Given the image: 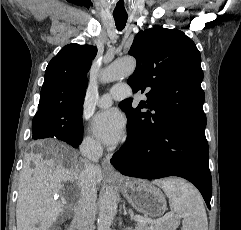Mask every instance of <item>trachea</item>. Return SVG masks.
Masks as SVG:
<instances>
[{
  "label": "trachea",
  "mask_w": 241,
  "mask_h": 230,
  "mask_svg": "<svg viewBox=\"0 0 241 230\" xmlns=\"http://www.w3.org/2000/svg\"><path fill=\"white\" fill-rule=\"evenodd\" d=\"M113 17H114L117 29L119 31L123 30L126 25L128 15L126 13H113Z\"/></svg>",
  "instance_id": "obj_1"
}]
</instances>
